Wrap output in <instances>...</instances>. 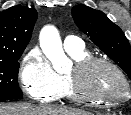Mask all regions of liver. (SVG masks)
<instances>
[{
    "label": "liver",
    "mask_w": 131,
    "mask_h": 115,
    "mask_svg": "<svg viewBox=\"0 0 131 115\" xmlns=\"http://www.w3.org/2000/svg\"><path fill=\"white\" fill-rule=\"evenodd\" d=\"M0 115H92L82 110L65 107L35 106L19 103L13 105H0Z\"/></svg>",
    "instance_id": "1"
}]
</instances>
